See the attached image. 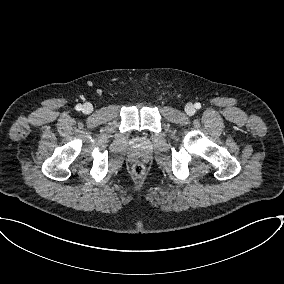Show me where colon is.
<instances>
[{
	"label": "colon",
	"instance_id": "1",
	"mask_svg": "<svg viewBox=\"0 0 284 284\" xmlns=\"http://www.w3.org/2000/svg\"><path fill=\"white\" fill-rule=\"evenodd\" d=\"M132 171L135 175L141 176L145 172V166L142 163H136L133 165Z\"/></svg>",
	"mask_w": 284,
	"mask_h": 284
}]
</instances>
